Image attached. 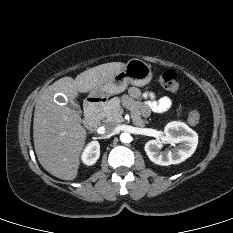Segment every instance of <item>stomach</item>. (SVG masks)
<instances>
[{
	"instance_id": "0dacf381",
	"label": "stomach",
	"mask_w": 233,
	"mask_h": 233,
	"mask_svg": "<svg viewBox=\"0 0 233 233\" xmlns=\"http://www.w3.org/2000/svg\"><path fill=\"white\" fill-rule=\"evenodd\" d=\"M151 79V66L143 60L133 58L115 74L111 81L91 91L90 97H110L123 92L128 84L141 87L147 85Z\"/></svg>"
}]
</instances>
